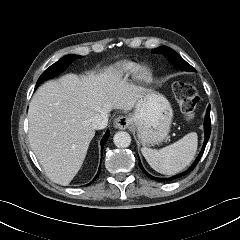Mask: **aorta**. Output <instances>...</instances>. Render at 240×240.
<instances>
[{
    "instance_id": "obj_1",
    "label": "aorta",
    "mask_w": 240,
    "mask_h": 240,
    "mask_svg": "<svg viewBox=\"0 0 240 240\" xmlns=\"http://www.w3.org/2000/svg\"><path fill=\"white\" fill-rule=\"evenodd\" d=\"M113 142L119 148H126L131 144V136L127 132L119 131L114 135Z\"/></svg>"
}]
</instances>
